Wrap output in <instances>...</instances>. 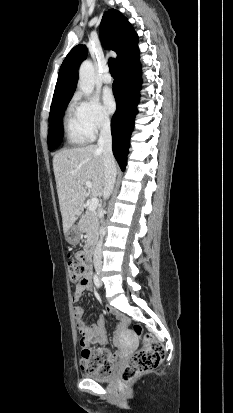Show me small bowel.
<instances>
[{"label": "small bowel", "mask_w": 233, "mask_h": 413, "mask_svg": "<svg viewBox=\"0 0 233 413\" xmlns=\"http://www.w3.org/2000/svg\"><path fill=\"white\" fill-rule=\"evenodd\" d=\"M76 257L82 258L83 252L77 251ZM85 290H92V281L90 273H88V275L77 284L72 296L74 304H76L80 300L81 295ZM108 311L112 314H117L113 308H108ZM74 316L76 319L77 328L82 335L80 343L83 349L88 348L90 344L103 345L107 342L108 338L104 330L105 320L103 316H99L96 323L88 324L84 318L83 309L78 305L74 306ZM117 316L119 319V327H123L128 324V320L126 317L120 314H117ZM111 356L112 359H114L117 357V354H111Z\"/></svg>", "instance_id": "c3829d8e"}]
</instances>
